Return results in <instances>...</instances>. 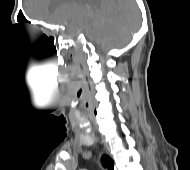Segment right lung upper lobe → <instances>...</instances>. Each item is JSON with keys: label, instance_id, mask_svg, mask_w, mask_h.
<instances>
[{"label": "right lung upper lobe", "instance_id": "right-lung-upper-lobe-1", "mask_svg": "<svg viewBox=\"0 0 190 170\" xmlns=\"http://www.w3.org/2000/svg\"><path fill=\"white\" fill-rule=\"evenodd\" d=\"M104 160H105V165L108 167V169L113 170L114 162L106 155L104 156Z\"/></svg>", "mask_w": 190, "mask_h": 170}]
</instances>
